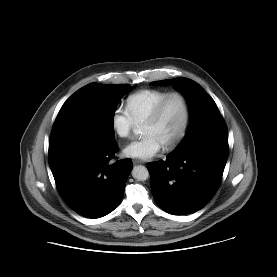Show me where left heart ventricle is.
<instances>
[{"mask_svg": "<svg viewBox=\"0 0 277 277\" xmlns=\"http://www.w3.org/2000/svg\"><path fill=\"white\" fill-rule=\"evenodd\" d=\"M184 121V105L180 98H171L163 113L154 124L143 125V134L154 135L163 146L168 144L179 133Z\"/></svg>", "mask_w": 277, "mask_h": 277, "instance_id": "1", "label": "left heart ventricle"}]
</instances>
